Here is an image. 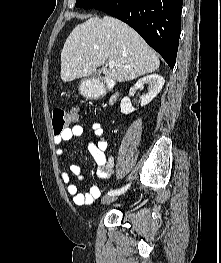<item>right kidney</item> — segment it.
Instances as JSON below:
<instances>
[{
	"mask_svg": "<svg viewBox=\"0 0 221 263\" xmlns=\"http://www.w3.org/2000/svg\"><path fill=\"white\" fill-rule=\"evenodd\" d=\"M164 83V78L158 74L148 75L139 79L134 85L135 89H142L144 85L148 84V91L141 96V106H145L150 103L158 95V93H160ZM120 107L121 113L126 115L135 110V108L132 107L128 96L121 100Z\"/></svg>",
	"mask_w": 221,
	"mask_h": 263,
	"instance_id": "obj_1",
	"label": "right kidney"
}]
</instances>
